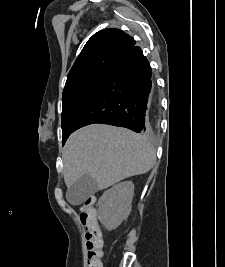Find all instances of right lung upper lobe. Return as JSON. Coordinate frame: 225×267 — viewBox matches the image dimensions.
<instances>
[{"label": "right lung upper lobe", "instance_id": "cb5924a9", "mask_svg": "<svg viewBox=\"0 0 225 267\" xmlns=\"http://www.w3.org/2000/svg\"><path fill=\"white\" fill-rule=\"evenodd\" d=\"M136 41L115 28L95 33L85 44L72 66L65 87L83 78L108 73L116 59Z\"/></svg>", "mask_w": 225, "mask_h": 267}]
</instances>
